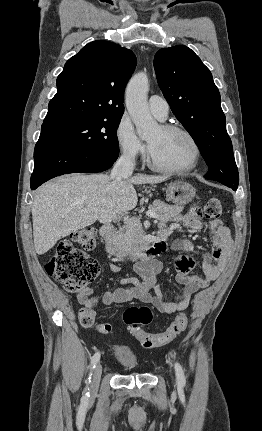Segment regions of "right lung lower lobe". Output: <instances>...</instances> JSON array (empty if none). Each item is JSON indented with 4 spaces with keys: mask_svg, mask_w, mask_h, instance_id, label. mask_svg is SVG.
Masks as SVG:
<instances>
[{
    "mask_svg": "<svg viewBox=\"0 0 262 431\" xmlns=\"http://www.w3.org/2000/svg\"><path fill=\"white\" fill-rule=\"evenodd\" d=\"M117 158L68 142L39 139L34 150L31 189L63 174L105 171Z\"/></svg>",
    "mask_w": 262,
    "mask_h": 431,
    "instance_id": "1",
    "label": "right lung lower lobe"
}]
</instances>
